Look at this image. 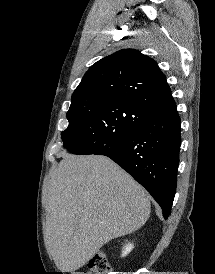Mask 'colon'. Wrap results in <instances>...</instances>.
Returning a JSON list of instances; mask_svg holds the SVG:
<instances>
[{
	"label": "colon",
	"mask_w": 215,
	"mask_h": 274,
	"mask_svg": "<svg viewBox=\"0 0 215 274\" xmlns=\"http://www.w3.org/2000/svg\"><path fill=\"white\" fill-rule=\"evenodd\" d=\"M87 272H80L77 274H109L110 265L106 254L98 252L90 261Z\"/></svg>",
	"instance_id": "obj_1"
}]
</instances>
